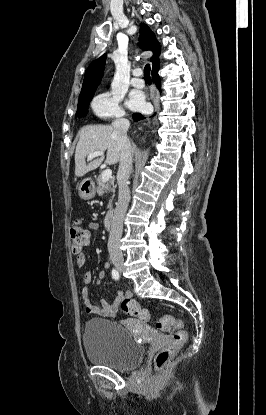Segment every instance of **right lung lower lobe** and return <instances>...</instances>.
Returning <instances> with one entry per match:
<instances>
[{
  "label": "right lung lower lobe",
  "instance_id": "1",
  "mask_svg": "<svg viewBox=\"0 0 266 415\" xmlns=\"http://www.w3.org/2000/svg\"><path fill=\"white\" fill-rule=\"evenodd\" d=\"M152 79H153V82L156 84L157 88L160 90L161 82H160V77L158 75V70L152 73ZM142 118H143V116L139 113L133 114L134 121L141 120Z\"/></svg>",
  "mask_w": 266,
  "mask_h": 415
}]
</instances>
